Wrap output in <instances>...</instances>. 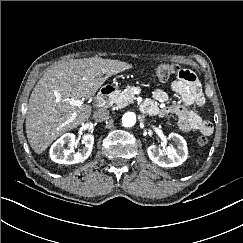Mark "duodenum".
I'll use <instances>...</instances> for the list:
<instances>
[{
  "label": "duodenum",
  "instance_id": "410a0bca",
  "mask_svg": "<svg viewBox=\"0 0 243 243\" xmlns=\"http://www.w3.org/2000/svg\"><path fill=\"white\" fill-rule=\"evenodd\" d=\"M116 88L113 85L103 87L96 97V107L103 108L107 105L109 99L115 93Z\"/></svg>",
  "mask_w": 243,
  "mask_h": 243
}]
</instances>
